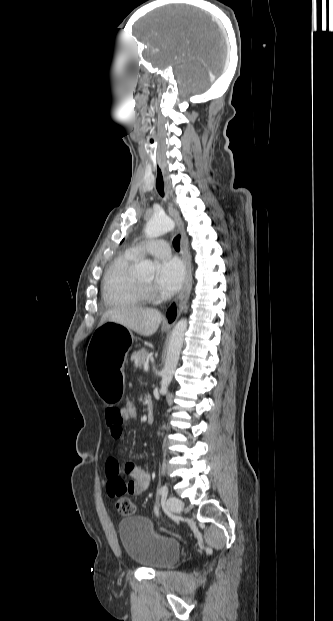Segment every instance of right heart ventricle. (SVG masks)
I'll use <instances>...</instances> for the list:
<instances>
[{"instance_id":"e07e8e85","label":"right heart ventricle","mask_w":333,"mask_h":621,"mask_svg":"<svg viewBox=\"0 0 333 621\" xmlns=\"http://www.w3.org/2000/svg\"><path fill=\"white\" fill-rule=\"evenodd\" d=\"M136 261L137 256L128 251L117 257L109 266L102 288L107 304L141 306L148 302L149 296L132 274V266Z\"/></svg>"}]
</instances>
